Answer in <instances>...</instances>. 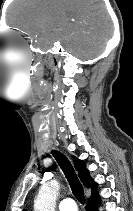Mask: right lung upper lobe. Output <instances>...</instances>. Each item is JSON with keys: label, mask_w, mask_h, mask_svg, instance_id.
<instances>
[{"label": "right lung upper lobe", "mask_w": 133, "mask_h": 211, "mask_svg": "<svg viewBox=\"0 0 133 211\" xmlns=\"http://www.w3.org/2000/svg\"><path fill=\"white\" fill-rule=\"evenodd\" d=\"M74 166L79 173V178L81 182L86 186L92 189V195L89 199H95L99 197L98 189L96 183L90 177L89 171L86 168L83 161L77 159L73 156Z\"/></svg>", "instance_id": "1"}]
</instances>
